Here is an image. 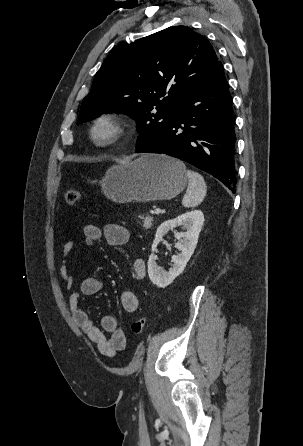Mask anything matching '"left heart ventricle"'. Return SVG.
I'll use <instances>...</instances> for the list:
<instances>
[{"label":"left heart ventricle","mask_w":303,"mask_h":446,"mask_svg":"<svg viewBox=\"0 0 303 446\" xmlns=\"http://www.w3.org/2000/svg\"><path fill=\"white\" fill-rule=\"evenodd\" d=\"M106 129L105 128H100L98 131H97V135H98V137H104L105 135H106Z\"/></svg>","instance_id":"obj_1"}]
</instances>
